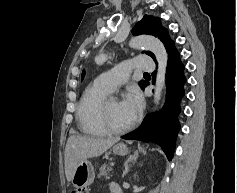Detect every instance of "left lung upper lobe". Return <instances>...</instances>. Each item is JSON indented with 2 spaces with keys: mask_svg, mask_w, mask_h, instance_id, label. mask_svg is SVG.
<instances>
[{
  "mask_svg": "<svg viewBox=\"0 0 237 193\" xmlns=\"http://www.w3.org/2000/svg\"><path fill=\"white\" fill-rule=\"evenodd\" d=\"M133 34H151L158 37L164 43L167 49L173 41L170 39L168 31L166 28L162 27L160 19L158 17H153L151 15H145L141 21H139L135 27L132 29ZM147 55L155 59L152 52L147 51ZM85 71L82 72V79L84 78ZM145 81H140L139 85L143 88Z\"/></svg>",
  "mask_w": 237,
  "mask_h": 193,
  "instance_id": "5c2ea615",
  "label": "left lung upper lobe"
}]
</instances>
